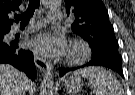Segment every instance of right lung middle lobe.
<instances>
[{
    "instance_id": "1",
    "label": "right lung middle lobe",
    "mask_w": 135,
    "mask_h": 95,
    "mask_svg": "<svg viewBox=\"0 0 135 95\" xmlns=\"http://www.w3.org/2000/svg\"><path fill=\"white\" fill-rule=\"evenodd\" d=\"M4 34V31H0V37H2Z\"/></svg>"
}]
</instances>
